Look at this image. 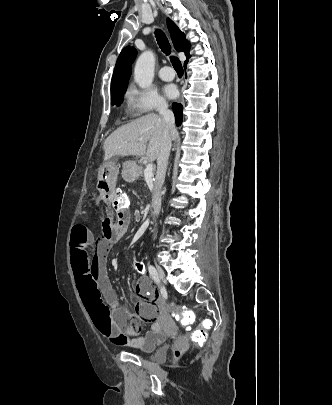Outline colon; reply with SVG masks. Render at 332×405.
Listing matches in <instances>:
<instances>
[{"mask_svg":"<svg viewBox=\"0 0 332 405\" xmlns=\"http://www.w3.org/2000/svg\"><path fill=\"white\" fill-rule=\"evenodd\" d=\"M113 191L114 198L113 203H110L109 205L110 212H124L125 209L132 207V200L128 199V195L125 193V190L122 189L120 184H113ZM132 263L134 270H137L138 273H143L145 271L146 263L143 258H134ZM175 311L179 317V323L182 324L184 328H191L194 323V316L192 313L185 307H178ZM204 320L206 321L207 319L205 318ZM206 335L205 329L200 328L194 332L193 339L196 342H202L205 340Z\"/></svg>","mask_w":332,"mask_h":405,"instance_id":"obj_1","label":"colon"}]
</instances>
